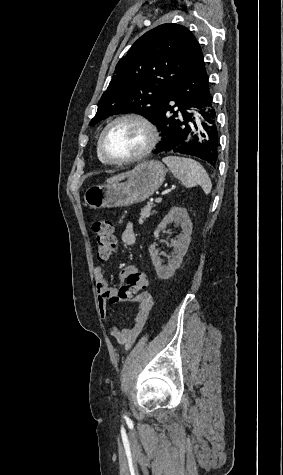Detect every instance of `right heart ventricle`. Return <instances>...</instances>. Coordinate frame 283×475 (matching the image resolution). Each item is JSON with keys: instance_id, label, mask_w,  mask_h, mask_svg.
Masks as SVG:
<instances>
[{"instance_id": "right-heart-ventricle-1", "label": "right heart ventricle", "mask_w": 283, "mask_h": 475, "mask_svg": "<svg viewBox=\"0 0 283 475\" xmlns=\"http://www.w3.org/2000/svg\"><path fill=\"white\" fill-rule=\"evenodd\" d=\"M95 154H96V157L97 159L99 160V162H106L100 155L99 153V149H98V144L96 143V146H95Z\"/></svg>"}]
</instances>
